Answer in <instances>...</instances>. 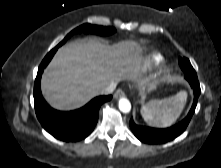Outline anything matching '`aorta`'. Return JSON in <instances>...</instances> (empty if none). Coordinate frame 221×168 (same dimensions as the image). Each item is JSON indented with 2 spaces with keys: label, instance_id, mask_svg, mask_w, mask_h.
<instances>
[{
  "label": "aorta",
  "instance_id": "aorta-1",
  "mask_svg": "<svg viewBox=\"0 0 221 168\" xmlns=\"http://www.w3.org/2000/svg\"><path fill=\"white\" fill-rule=\"evenodd\" d=\"M119 109L123 113H128L131 110V103L128 99L126 98H121L119 100Z\"/></svg>",
  "mask_w": 221,
  "mask_h": 168
}]
</instances>
